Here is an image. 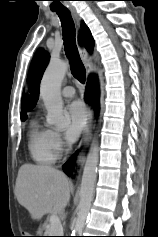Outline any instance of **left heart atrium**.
<instances>
[{"instance_id":"39dd6f15","label":"left heart atrium","mask_w":158,"mask_h":237,"mask_svg":"<svg viewBox=\"0 0 158 237\" xmlns=\"http://www.w3.org/2000/svg\"><path fill=\"white\" fill-rule=\"evenodd\" d=\"M65 113L68 119L65 135L68 141L73 142L77 140L86 126V111L80 101H74L67 106Z\"/></svg>"}]
</instances>
